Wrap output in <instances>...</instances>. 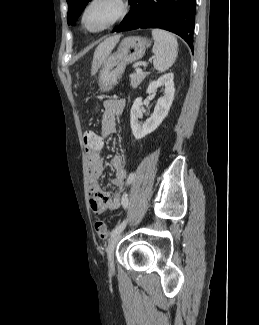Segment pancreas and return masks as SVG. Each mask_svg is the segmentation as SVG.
Segmentation results:
<instances>
[{
	"mask_svg": "<svg viewBox=\"0 0 259 325\" xmlns=\"http://www.w3.org/2000/svg\"><path fill=\"white\" fill-rule=\"evenodd\" d=\"M148 75L146 72H141V73H132L130 75V86L132 88H137L142 81L145 79V77Z\"/></svg>",
	"mask_w": 259,
	"mask_h": 325,
	"instance_id": "obj_1",
	"label": "pancreas"
}]
</instances>
